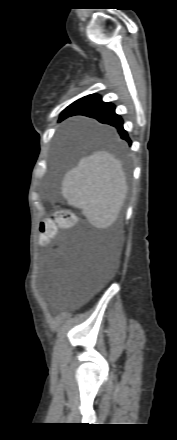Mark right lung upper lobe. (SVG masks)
Masks as SVG:
<instances>
[{
    "label": "right lung upper lobe",
    "mask_w": 177,
    "mask_h": 440,
    "mask_svg": "<svg viewBox=\"0 0 177 440\" xmlns=\"http://www.w3.org/2000/svg\"><path fill=\"white\" fill-rule=\"evenodd\" d=\"M86 97H89V98H93L94 100H95V102H98V101H100L101 100V98L98 96V95H96V94H92V95H88V96H86ZM69 117V116H68ZM67 118V117H66ZM65 119V118H64ZM63 120V119H62ZM61 120V118L59 119V121H62Z\"/></svg>",
    "instance_id": "1"
}]
</instances>
